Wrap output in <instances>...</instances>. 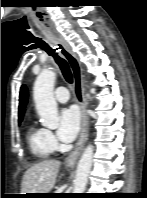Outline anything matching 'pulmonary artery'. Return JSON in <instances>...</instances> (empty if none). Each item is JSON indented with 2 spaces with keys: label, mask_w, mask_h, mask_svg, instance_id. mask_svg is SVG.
I'll use <instances>...</instances> for the list:
<instances>
[{
  "label": "pulmonary artery",
  "mask_w": 147,
  "mask_h": 198,
  "mask_svg": "<svg viewBox=\"0 0 147 198\" xmlns=\"http://www.w3.org/2000/svg\"><path fill=\"white\" fill-rule=\"evenodd\" d=\"M55 99L60 103H65L69 100V92L65 87H58L54 92Z\"/></svg>",
  "instance_id": "obj_1"
}]
</instances>
